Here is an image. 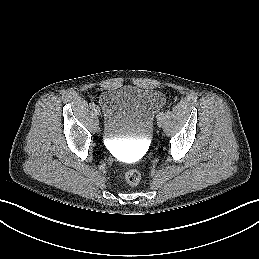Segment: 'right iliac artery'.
<instances>
[{
	"label": "right iliac artery",
	"mask_w": 259,
	"mask_h": 259,
	"mask_svg": "<svg viewBox=\"0 0 259 259\" xmlns=\"http://www.w3.org/2000/svg\"><path fill=\"white\" fill-rule=\"evenodd\" d=\"M90 107L94 108L95 104L93 102L90 103Z\"/></svg>",
	"instance_id": "1"
}]
</instances>
